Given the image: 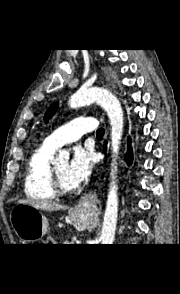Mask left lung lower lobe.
Segmentation results:
<instances>
[{"label":"left lung lower lobe","instance_id":"left-lung-lower-lobe-1","mask_svg":"<svg viewBox=\"0 0 180 294\" xmlns=\"http://www.w3.org/2000/svg\"><path fill=\"white\" fill-rule=\"evenodd\" d=\"M131 141L130 138H128V152H127V163L130 165L132 163L133 155H132V149L130 147ZM104 150H106V142L104 145Z\"/></svg>","mask_w":180,"mask_h":294}]
</instances>
